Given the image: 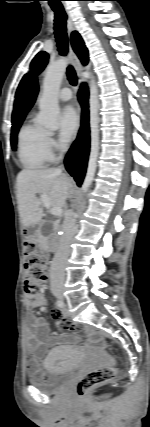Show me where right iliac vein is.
Returning <instances> with one entry per match:
<instances>
[{
	"label": "right iliac vein",
	"instance_id": "obj_1",
	"mask_svg": "<svg viewBox=\"0 0 150 427\" xmlns=\"http://www.w3.org/2000/svg\"><path fill=\"white\" fill-rule=\"evenodd\" d=\"M58 298H62V292L60 290L55 291L54 293Z\"/></svg>",
	"mask_w": 150,
	"mask_h": 427
}]
</instances>
